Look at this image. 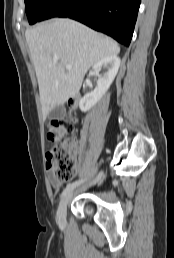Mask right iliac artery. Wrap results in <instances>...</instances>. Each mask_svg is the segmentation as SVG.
<instances>
[{"label": "right iliac artery", "instance_id": "1", "mask_svg": "<svg viewBox=\"0 0 174 258\" xmlns=\"http://www.w3.org/2000/svg\"><path fill=\"white\" fill-rule=\"evenodd\" d=\"M85 179H79L75 182L67 184L66 188L63 190L61 194V198L67 195L70 191H72L75 187L79 186L81 183H83Z\"/></svg>", "mask_w": 174, "mask_h": 258}]
</instances>
